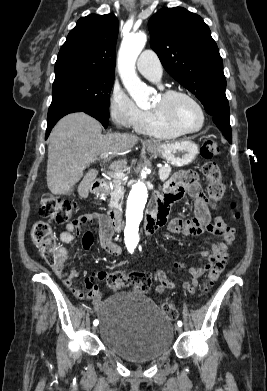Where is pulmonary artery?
I'll use <instances>...</instances> for the list:
<instances>
[{
    "label": "pulmonary artery",
    "instance_id": "1",
    "mask_svg": "<svg viewBox=\"0 0 267 391\" xmlns=\"http://www.w3.org/2000/svg\"><path fill=\"white\" fill-rule=\"evenodd\" d=\"M138 71L151 81H159L162 76V65L157 54L152 50H144L137 60Z\"/></svg>",
    "mask_w": 267,
    "mask_h": 391
}]
</instances>
